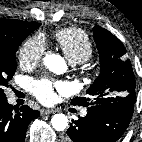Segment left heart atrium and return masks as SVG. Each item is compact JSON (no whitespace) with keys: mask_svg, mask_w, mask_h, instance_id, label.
Returning <instances> with one entry per match:
<instances>
[{"mask_svg":"<svg viewBox=\"0 0 142 142\" xmlns=\"http://www.w3.org/2000/svg\"><path fill=\"white\" fill-rule=\"evenodd\" d=\"M62 82H53L48 79L35 80L30 83L31 93L41 102L49 103L54 97L55 90H63Z\"/></svg>","mask_w":142,"mask_h":142,"instance_id":"left-heart-atrium-1","label":"left heart atrium"}]
</instances>
